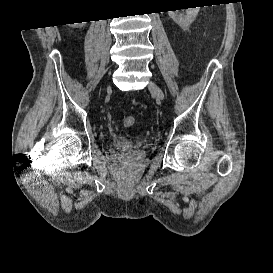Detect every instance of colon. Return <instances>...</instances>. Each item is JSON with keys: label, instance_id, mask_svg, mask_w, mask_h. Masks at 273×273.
<instances>
[{"label": "colon", "instance_id": "colon-1", "mask_svg": "<svg viewBox=\"0 0 273 273\" xmlns=\"http://www.w3.org/2000/svg\"><path fill=\"white\" fill-rule=\"evenodd\" d=\"M135 122L136 120H135V117L133 116H127L123 119V125L127 128L134 126Z\"/></svg>", "mask_w": 273, "mask_h": 273}]
</instances>
